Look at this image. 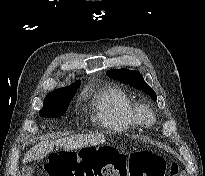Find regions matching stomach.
Returning a JSON list of instances; mask_svg holds the SVG:
<instances>
[{"label":"stomach","instance_id":"obj_1","mask_svg":"<svg viewBox=\"0 0 205 176\" xmlns=\"http://www.w3.org/2000/svg\"><path fill=\"white\" fill-rule=\"evenodd\" d=\"M105 146H88V147H84L82 148L81 151H89L91 149H95L96 151L100 150V149H103Z\"/></svg>","mask_w":205,"mask_h":176}]
</instances>
